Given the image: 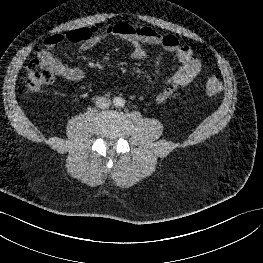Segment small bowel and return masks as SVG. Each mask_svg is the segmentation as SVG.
Masks as SVG:
<instances>
[{"instance_id": "c3829d8e", "label": "small bowel", "mask_w": 263, "mask_h": 263, "mask_svg": "<svg viewBox=\"0 0 263 263\" xmlns=\"http://www.w3.org/2000/svg\"><path fill=\"white\" fill-rule=\"evenodd\" d=\"M108 36H117L127 41L131 46L130 57L134 60L145 58L146 52L143 47L145 44L159 45L175 54L179 65L174 74L166 80L164 90L156 96L158 103L166 102L177 89L192 83L201 71V62L193 50L181 44L177 37L162 35L150 27L134 26L126 22L106 27L80 28L48 36L43 42L38 58L43 64L51 67L58 76L79 82L84 79V72L79 68L65 65L53 55V49L63 43H78L81 50L87 51Z\"/></svg>"}]
</instances>
